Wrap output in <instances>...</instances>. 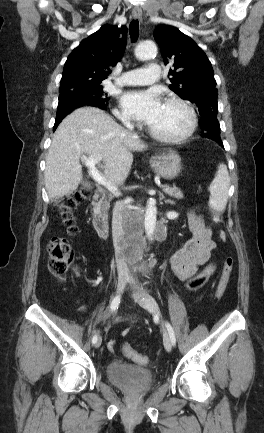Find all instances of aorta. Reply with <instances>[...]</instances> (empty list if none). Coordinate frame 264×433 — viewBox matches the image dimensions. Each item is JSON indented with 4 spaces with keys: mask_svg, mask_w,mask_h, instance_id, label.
<instances>
[{
    "mask_svg": "<svg viewBox=\"0 0 264 433\" xmlns=\"http://www.w3.org/2000/svg\"><path fill=\"white\" fill-rule=\"evenodd\" d=\"M157 47L153 42L141 43L135 49V56L139 60H147L156 57ZM157 227L156 201L151 199L144 215V230L148 238H152Z\"/></svg>",
    "mask_w": 264,
    "mask_h": 433,
    "instance_id": "762f6f07",
    "label": "aorta"
}]
</instances>
